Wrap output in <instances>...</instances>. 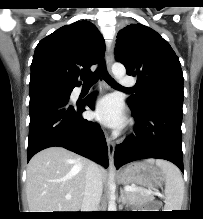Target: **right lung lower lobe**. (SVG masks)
I'll return each mask as SVG.
<instances>
[{"mask_svg":"<svg viewBox=\"0 0 203 219\" xmlns=\"http://www.w3.org/2000/svg\"><path fill=\"white\" fill-rule=\"evenodd\" d=\"M70 94L43 90L30 95L27 161L45 148L60 146L107 168L108 148L103 131L81 116L85 106L94 109V94L76 104L69 102Z\"/></svg>","mask_w":203,"mask_h":219,"instance_id":"obj_1","label":"right lung lower lobe"}]
</instances>
